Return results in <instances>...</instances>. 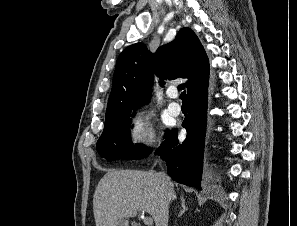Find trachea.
<instances>
[{"label":"trachea","mask_w":297,"mask_h":226,"mask_svg":"<svg viewBox=\"0 0 297 226\" xmlns=\"http://www.w3.org/2000/svg\"><path fill=\"white\" fill-rule=\"evenodd\" d=\"M180 99L184 105H187L186 91H183L180 95Z\"/></svg>","instance_id":"obj_1"}]
</instances>
